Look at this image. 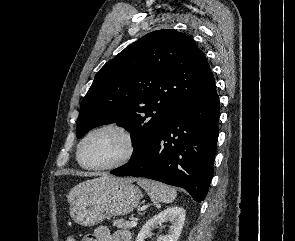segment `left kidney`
I'll return each mask as SVG.
<instances>
[{"mask_svg":"<svg viewBox=\"0 0 295 241\" xmlns=\"http://www.w3.org/2000/svg\"><path fill=\"white\" fill-rule=\"evenodd\" d=\"M185 221V210L181 207H170L163 210L159 214L153 216L142 227L136 241H144L151 231L162 223H169L168 233L163 237L162 241H178Z\"/></svg>","mask_w":295,"mask_h":241,"instance_id":"5707ae66","label":"left kidney"}]
</instances>
